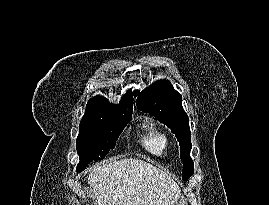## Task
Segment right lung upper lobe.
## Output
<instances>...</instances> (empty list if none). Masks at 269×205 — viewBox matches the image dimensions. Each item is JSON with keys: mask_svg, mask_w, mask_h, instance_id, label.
<instances>
[{"mask_svg": "<svg viewBox=\"0 0 269 205\" xmlns=\"http://www.w3.org/2000/svg\"><path fill=\"white\" fill-rule=\"evenodd\" d=\"M133 96L128 91L118 105H113L103 97L91 98L87 104L83 118L92 117H126L132 116Z\"/></svg>", "mask_w": 269, "mask_h": 205, "instance_id": "1", "label": "right lung upper lobe"}]
</instances>
